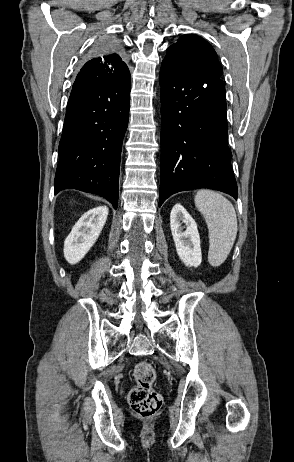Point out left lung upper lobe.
Instances as JSON below:
<instances>
[{
  "mask_svg": "<svg viewBox=\"0 0 294 462\" xmlns=\"http://www.w3.org/2000/svg\"><path fill=\"white\" fill-rule=\"evenodd\" d=\"M164 63L190 70L205 78H219L222 66L213 47L203 38L187 34L167 49Z\"/></svg>",
  "mask_w": 294,
  "mask_h": 462,
  "instance_id": "5c2ea615",
  "label": "left lung upper lobe"
}]
</instances>
